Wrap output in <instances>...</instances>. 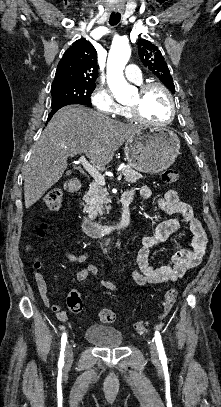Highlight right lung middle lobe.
Listing matches in <instances>:
<instances>
[{
	"label": "right lung middle lobe",
	"mask_w": 221,
	"mask_h": 407,
	"mask_svg": "<svg viewBox=\"0 0 221 407\" xmlns=\"http://www.w3.org/2000/svg\"><path fill=\"white\" fill-rule=\"evenodd\" d=\"M95 83H73L51 89L52 107L65 104L91 105L90 96Z\"/></svg>",
	"instance_id": "dd1d6c3e"
}]
</instances>
